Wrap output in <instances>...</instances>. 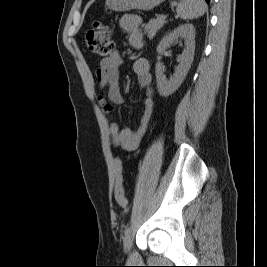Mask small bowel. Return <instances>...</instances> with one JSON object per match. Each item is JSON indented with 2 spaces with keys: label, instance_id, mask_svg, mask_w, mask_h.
<instances>
[{
  "label": "small bowel",
  "instance_id": "c3829d8e",
  "mask_svg": "<svg viewBox=\"0 0 267 267\" xmlns=\"http://www.w3.org/2000/svg\"><path fill=\"white\" fill-rule=\"evenodd\" d=\"M120 27L129 35L128 40L132 47L139 49L143 46V34L141 31L142 18L139 15H124L119 21ZM122 57L114 51L110 57L100 61L96 71V79L101 88L107 91V100L99 96L98 100L106 116L111 119L113 105H120L124 99L119 85V66ZM133 71L137 76L138 84L145 91L144 110L136 130L120 128L117 123L110 122L109 130L114 148L125 151H134L138 148L141 139L147 129L153 111V90L150 65L147 59L138 58L133 63Z\"/></svg>",
  "mask_w": 267,
  "mask_h": 267
}]
</instances>
